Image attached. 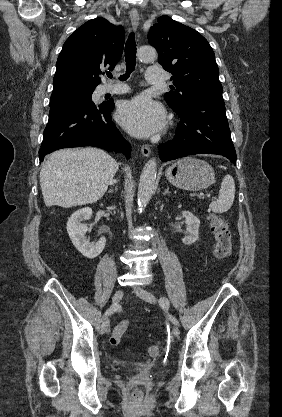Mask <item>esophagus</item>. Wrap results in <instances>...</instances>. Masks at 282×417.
I'll use <instances>...</instances> for the list:
<instances>
[{"instance_id": "obj_1", "label": "esophagus", "mask_w": 282, "mask_h": 417, "mask_svg": "<svg viewBox=\"0 0 282 417\" xmlns=\"http://www.w3.org/2000/svg\"><path fill=\"white\" fill-rule=\"evenodd\" d=\"M130 20H131V24L133 26V28L136 30L139 26V14L137 10H131L130 11ZM141 152L143 154L144 157H149L150 155V147L148 146H142L141 147Z\"/></svg>"}]
</instances>
